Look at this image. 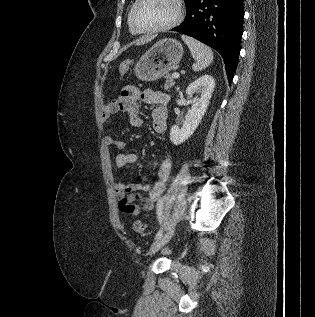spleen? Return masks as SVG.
I'll return each instance as SVG.
<instances>
[{"mask_svg":"<svg viewBox=\"0 0 315 317\" xmlns=\"http://www.w3.org/2000/svg\"><path fill=\"white\" fill-rule=\"evenodd\" d=\"M181 38L187 44L191 55L195 60V63L192 65L193 71L199 72L207 68L213 61L212 50L192 37L182 35Z\"/></svg>","mask_w":315,"mask_h":317,"instance_id":"3e777b00","label":"spleen"}]
</instances>
